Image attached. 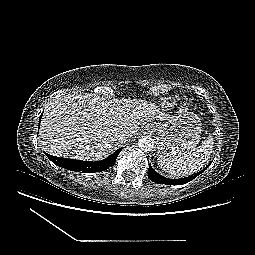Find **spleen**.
<instances>
[{
    "label": "spleen",
    "instance_id": "obj_1",
    "mask_svg": "<svg viewBox=\"0 0 255 255\" xmlns=\"http://www.w3.org/2000/svg\"><path fill=\"white\" fill-rule=\"evenodd\" d=\"M212 135L194 149L185 151L173 158L159 155L158 163L162 170L174 176H187L200 170L209 160L213 151Z\"/></svg>",
    "mask_w": 255,
    "mask_h": 255
}]
</instances>
